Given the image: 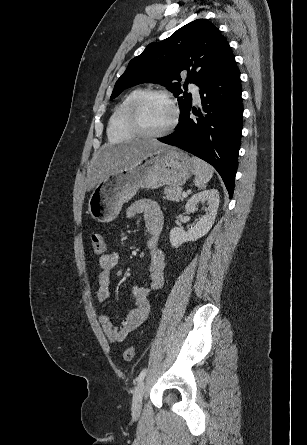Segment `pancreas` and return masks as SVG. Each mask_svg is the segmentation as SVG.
I'll return each mask as SVG.
<instances>
[{
	"mask_svg": "<svg viewBox=\"0 0 307 445\" xmlns=\"http://www.w3.org/2000/svg\"><path fill=\"white\" fill-rule=\"evenodd\" d=\"M181 186H165L163 198H167V200H183L184 196H181Z\"/></svg>",
	"mask_w": 307,
	"mask_h": 445,
	"instance_id": "obj_1",
	"label": "pancreas"
}]
</instances>
